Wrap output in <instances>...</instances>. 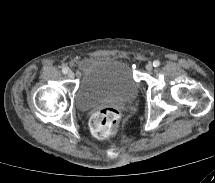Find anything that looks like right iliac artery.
I'll return each mask as SVG.
<instances>
[{
  "instance_id": "1",
  "label": "right iliac artery",
  "mask_w": 215,
  "mask_h": 183,
  "mask_svg": "<svg viewBox=\"0 0 215 183\" xmlns=\"http://www.w3.org/2000/svg\"><path fill=\"white\" fill-rule=\"evenodd\" d=\"M62 73H63V74H67V73H68V68H63V69H62Z\"/></svg>"
}]
</instances>
